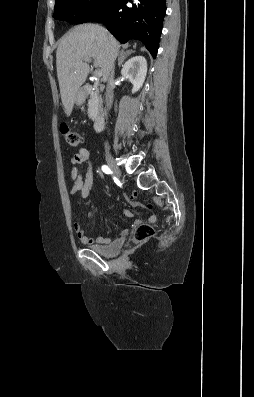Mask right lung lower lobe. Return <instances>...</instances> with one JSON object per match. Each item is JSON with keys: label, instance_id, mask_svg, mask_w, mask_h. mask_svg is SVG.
<instances>
[{"label": "right lung lower lobe", "instance_id": "right-lung-lower-lobe-1", "mask_svg": "<svg viewBox=\"0 0 254 397\" xmlns=\"http://www.w3.org/2000/svg\"><path fill=\"white\" fill-rule=\"evenodd\" d=\"M128 2L133 7L126 6ZM166 14V0H114L110 7L91 21L102 22L121 43L140 40L156 57Z\"/></svg>", "mask_w": 254, "mask_h": 397}]
</instances>
